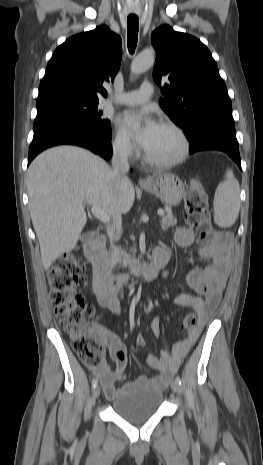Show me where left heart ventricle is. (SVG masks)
<instances>
[{
	"label": "left heart ventricle",
	"mask_w": 263,
	"mask_h": 465,
	"mask_svg": "<svg viewBox=\"0 0 263 465\" xmlns=\"http://www.w3.org/2000/svg\"><path fill=\"white\" fill-rule=\"evenodd\" d=\"M180 148L181 143L177 135L172 130L161 126L146 152L157 160H168L177 156Z\"/></svg>",
	"instance_id": "obj_1"
}]
</instances>
